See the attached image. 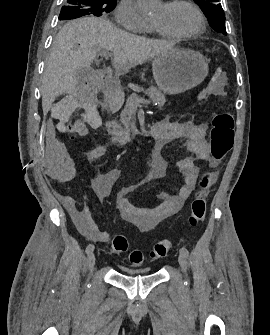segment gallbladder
<instances>
[{
	"label": "gallbladder",
	"instance_id": "1",
	"mask_svg": "<svg viewBox=\"0 0 270 335\" xmlns=\"http://www.w3.org/2000/svg\"><path fill=\"white\" fill-rule=\"evenodd\" d=\"M77 76H78V78H80V76H81L80 70H79V72H77Z\"/></svg>",
	"mask_w": 270,
	"mask_h": 335
}]
</instances>
